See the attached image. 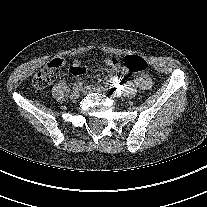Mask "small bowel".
Here are the masks:
<instances>
[{
	"instance_id": "1",
	"label": "small bowel",
	"mask_w": 207,
	"mask_h": 207,
	"mask_svg": "<svg viewBox=\"0 0 207 207\" xmlns=\"http://www.w3.org/2000/svg\"><path fill=\"white\" fill-rule=\"evenodd\" d=\"M103 63L113 67L115 72L118 74L127 75L129 73L128 69L120 64L117 57H113V56L107 57L103 60ZM71 72H72V74L76 75L77 77L84 75L85 70L82 67V64L80 61H78V60L74 61ZM115 83L121 85V84H126L129 82H127L125 79L116 77ZM132 84L134 86H137L140 89L149 90L151 88L152 82H151V79L148 75H140V76H137L133 80Z\"/></svg>"
}]
</instances>
